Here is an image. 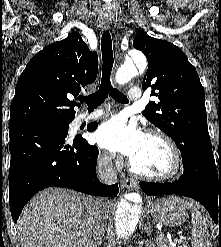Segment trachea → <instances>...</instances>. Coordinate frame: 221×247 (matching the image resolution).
<instances>
[{
	"label": "trachea",
	"mask_w": 221,
	"mask_h": 247,
	"mask_svg": "<svg viewBox=\"0 0 221 247\" xmlns=\"http://www.w3.org/2000/svg\"><path fill=\"white\" fill-rule=\"evenodd\" d=\"M101 50H102V79L99 89L87 96L81 97L80 102H85L88 106V110H93L100 106L110 93L111 97L117 102L127 104L129 102L126 95L120 92L118 89L114 88L110 82L111 71L113 67V50H112V40L108 30L102 34L101 40Z\"/></svg>",
	"instance_id": "1"
}]
</instances>
